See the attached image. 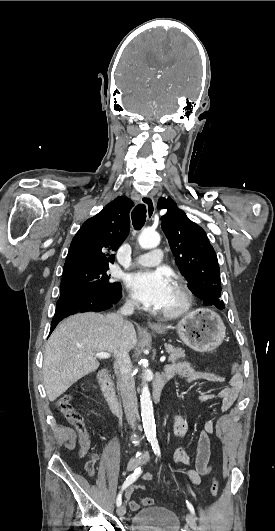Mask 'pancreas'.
Listing matches in <instances>:
<instances>
[{
	"label": "pancreas",
	"mask_w": 275,
	"mask_h": 531,
	"mask_svg": "<svg viewBox=\"0 0 275 531\" xmlns=\"http://www.w3.org/2000/svg\"><path fill=\"white\" fill-rule=\"evenodd\" d=\"M166 349V353H169L170 357H168L169 363H179L181 359H185V351L183 349H180V347H172V345H164Z\"/></svg>",
	"instance_id": "cf45deb5"
}]
</instances>
